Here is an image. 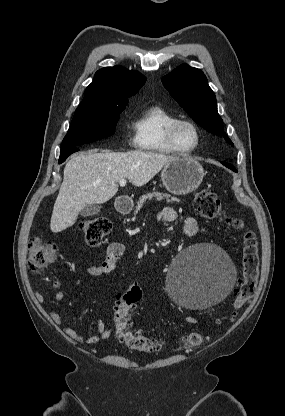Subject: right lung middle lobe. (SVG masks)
Wrapping results in <instances>:
<instances>
[{
    "label": "right lung middle lobe",
    "mask_w": 285,
    "mask_h": 416,
    "mask_svg": "<svg viewBox=\"0 0 285 416\" xmlns=\"http://www.w3.org/2000/svg\"><path fill=\"white\" fill-rule=\"evenodd\" d=\"M125 106L126 104L105 107L79 105L61 149L95 142L112 135Z\"/></svg>",
    "instance_id": "dd1d6c3e"
}]
</instances>
